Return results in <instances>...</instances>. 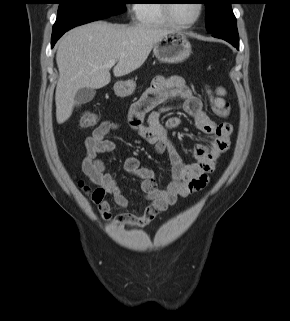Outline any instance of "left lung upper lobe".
<instances>
[{"label": "left lung upper lobe", "mask_w": 290, "mask_h": 321, "mask_svg": "<svg viewBox=\"0 0 290 321\" xmlns=\"http://www.w3.org/2000/svg\"><path fill=\"white\" fill-rule=\"evenodd\" d=\"M206 6V28L210 33L229 30L237 26L231 4L233 0H203Z\"/></svg>", "instance_id": "left-lung-upper-lobe-1"}]
</instances>
